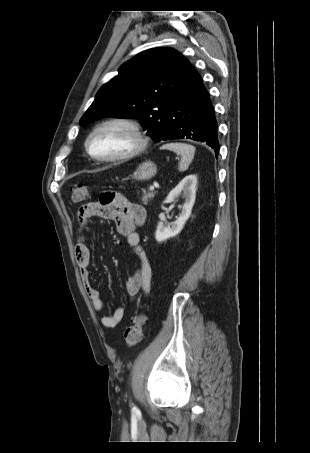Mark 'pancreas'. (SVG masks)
<instances>
[{
    "instance_id": "cf45deb5",
    "label": "pancreas",
    "mask_w": 310,
    "mask_h": 453,
    "mask_svg": "<svg viewBox=\"0 0 310 453\" xmlns=\"http://www.w3.org/2000/svg\"><path fill=\"white\" fill-rule=\"evenodd\" d=\"M154 196V192H146L145 190H143L141 201L144 205H148V203L154 198Z\"/></svg>"
}]
</instances>
